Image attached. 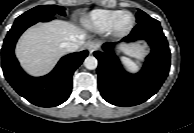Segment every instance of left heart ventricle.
Returning <instances> with one entry per match:
<instances>
[{
	"label": "left heart ventricle",
	"instance_id": "b2bd125f",
	"mask_svg": "<svg viewBox=\"0 0 194 133\" xmlns=\"http://www.w3.org/2000/svg\"><path fill=\"white\" fill-rule=\"evenodd\" d=\"M132 22V18L129 14H123L118 21V28L120 30H125L127 29Z\"/></svg>",
	"mask_w": 194,
	"mask_h": 133
}]
</instances>
